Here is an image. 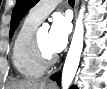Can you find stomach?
I'll return each mask as SVG.
<instances>
[{"label": "stomach", "instance_id": "stomach-1", "mask_svg": "<svg viewBox=\"0 0 107 89\" xmlns=\"http://www.w3.org/2000/svg\"><path fill=\"white\" fill-rule=\"evenodd\" d=\"M43 89H55L53 85H45Z\"/></svg>", "mask_w": 107, "mask_h": 89}]
</instances>
